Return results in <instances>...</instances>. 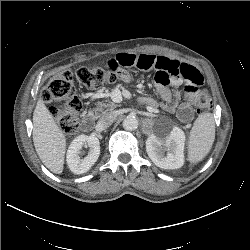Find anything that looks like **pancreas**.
Wrapping results in <instances>:
<instances>
[{
  "mask_svg": "<svg viewBox=\"0 0 250 250\" xmlns=\"http://www.w3.org/2000/svg\"><path fill=\"white\" fill-rule=\"evenodd\" d=\"M117 106H118L117 104L111 101H109L108 103L98 102L96 108H94L92 112L95 114L96 117H100L105 112V109L112 111Z\"/></svg>",
  "mask_w": 250,
  "mask_h": 250,
  "instance_id": "pancreas-1",
  "label": "pancreas"
}]
</instances>
